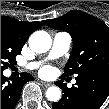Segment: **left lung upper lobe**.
<instances>
[{"mask_svg":"<svg viewBox=\"0 0 109 109\" xmlns=\"http://www.w3.org/2000/svg\"><path fill=\"white\" fill-rule=\"evenodd\" d=\"M43 24L71 34L73 51L62 77L96 70L109 73V27L100 19L80 10L44 20Z\"/></svg>","mask_w":109,"mask_h":109,"instance_id":"5c2ea615","label":"left lung upper lobe"}]
</instances>
